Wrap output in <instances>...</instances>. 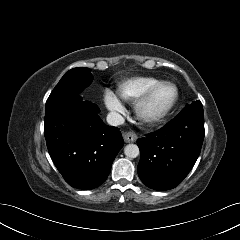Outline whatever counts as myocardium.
<instances>
[{
	"mask_svg": "<svg viewBox=\"0 0 240 240\" xmlns=\"http://www.w3.org/2000/svg\"><path fill=\"white\" fill-rule=\"evenodd\" d=\"M173 87L175 90V96L172 102L163 111L158 113H149L147 111V105L153 95L163 87ZM179 89L176 84L169 81H162L152 87H150L137 101L135 102L134 110L137 118L146 124H156L164 120L175 108L179 101Z\"/></svg>",
	"mask_w": 240,
	"mask_h": 240,
	"instance_id": "myocardium-1",
	"label": "myocardium"
}]
</instances>
